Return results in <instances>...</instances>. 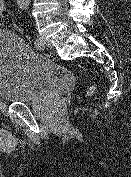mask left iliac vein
Masks as SVG:
<instances>
[{
	"label": "left iliac vein",
	"mask_w": 131,
	"mask_h": 177,
	"mask_svg": "<svg viewBox=\"0 0 131 177\" xmlns=\"http://www.w3.org/2000/svg\"><path fill=\"white\" fill-rule=\"evenodd\" d=\"M37 39L40 42V47L38 49L42 50L45 47H51V44L47 42L41 35H38Z\"/></svg>",
	"instance_id": "obj_1"
}]
</instances>
